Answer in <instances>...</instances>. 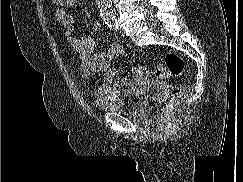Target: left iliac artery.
Masks as SVG:
<instances>
[{
    "label": "left iliac artery",
    "instance_id": "left-iliac-artery-1",
    "mask_svg": "<svg viewBox=\"0 0 243 182\" xmlns=\"http://www.w3.org/2000/svg\"><path fill=\"white\" fill-rule=\"evenodd\" d=\"M109 27L113 28L116 31L118 29V24L114 23V24L109 25Z\"/></svg>",
    "mask_w": 243,
    "mask_h": 182
}]
</instances>
